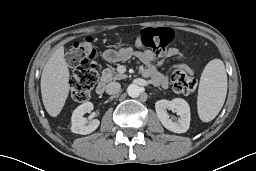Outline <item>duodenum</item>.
<instances>
[{
	"mask_svg": "<svg viewBox=\"0 0 256 171\" xmlns=\"http://www.w3.org/2000/svg\"><path fill=\"white\" fill-rule=\"evenodd\" d=\"M106 90V81L104 79L100 80L96 87V93L99 95L104 94Z\"/></svg>",
	"mask_w": 256,
	"mask_h": 171,
	"instance_id": "duodenum-1",
	"label": "duodenum"
}]
</instances>
